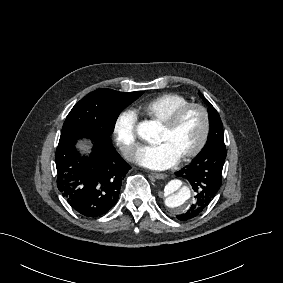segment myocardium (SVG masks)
<instances>
[{
    "mask_svg": "<svg viewBox=\"0 0 283 283\" xmlns=\"http://www.w3.org/2000/svg\"><path fill=\"white\" fill-rule=\"evenodd\" d=\"M191 109H196L200 112L203 119V133L199 143L192 150L186 152L182 157H180L179 161H188L196 157L206 147L210 134V117L208 111L203 105L192 102L170 112L161 122L162 126L166 130L171 131L175 128L181 117Z\"/></svg>",
    "mask_w": 283,
    "mask_h": 283,
    "instance_id": "obj_1",
    "label": "myocardium"
}]
</instances>
